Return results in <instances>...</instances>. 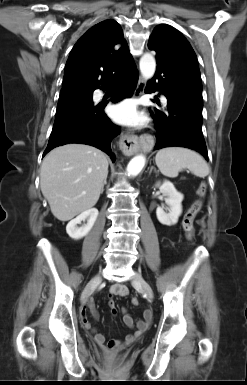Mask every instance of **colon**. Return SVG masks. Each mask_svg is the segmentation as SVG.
I'll return each mask as SVG.
<instances>
[{
  "mask_svg": "<svg viewBox=\"0 0 247 385\" xmlns=\"http://www.w3.org/2000/svg\"><path fill=\"white\" fill-rule=\"evenodd\" d=\"M198 196L199 198L190 206V208L186 211L183 220H182V227L186 234V237L188 240H191L194 234V220L197 216V214L200 212L203 204V198L206 193V185L201 184V186L198 189ZM139 301L137 298H134L132 300L133 305H138ZM110 349H112V346H109Z\"/></svg>",
  "mask_w": 247,
  "mask_h": 385,
  "instance_id": "obj_1",
  "label": "colon"
}]
</instances>
